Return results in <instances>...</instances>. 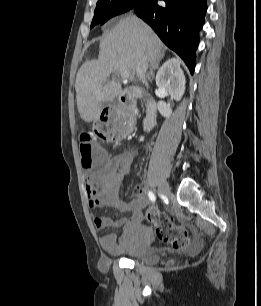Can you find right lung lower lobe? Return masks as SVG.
I'll return each mask as SVG.
<instances>
[{
    "mask_svg": "<svg viewBox=\"0 0 261 306\" xmlns=\"http://www.w3.org/2000/svg\"><path fill=\"white\" fill-rule=\"evenodd\" d=\"M164 1L166 5L161 7L157 0H143L135 7V13L185 61L193 73L198 34L207 10L206 0Z\"/></svg>",
    "mask_w": 261,
    "mask_h": 306,
    "instance_id": "obj_1",
    "label": "right lung lower lobe"
}]
</instances>
